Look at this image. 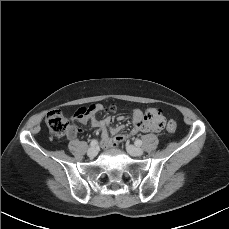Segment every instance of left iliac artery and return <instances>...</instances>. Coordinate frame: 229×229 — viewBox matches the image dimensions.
<instances>
[{
    "label": "left iliac artery",
    "mask_w": 229,
    "mask_h": 229,
    "mask_svg": "<svg viewBox=\"0 0 229 229\" xmlns=\"http://www.w3.org/2000/svg\"><path fill=\"white\" fill-rule=\"evenodd\" d=\"M135 145H136V146H141V145H142V141H141L140 139H137V140L135 141Z\"/></svg>",
    "instance_id": "left-iliac-artery-1"
}]
</instances>
